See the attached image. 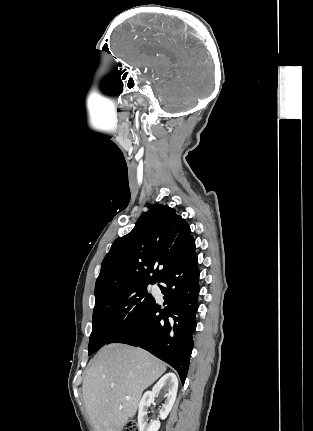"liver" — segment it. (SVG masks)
<instances>
[{
    "label": "liver",
    "instance_id": "1",
    "mask_svg": "<svg viewBox=\"0 0 313 431\" xmlns=\"http://www.w3.org/2000/svg\"><path fill=\"white\" fill-rule=\"evenodd\" d=\"M165 371L162 361L141 348L104 346L90 362L82 385L95 431H121L136 414L143 391Z\"/></svg>",
    "mask_w": 313,
    "mask_h": 431
}]
</instances>
